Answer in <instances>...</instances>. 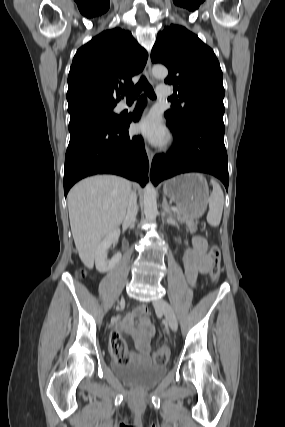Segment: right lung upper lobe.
<instances>
[{
  "label": "right lung upper lobe",
  "instance_id": "obj_1",
  "mask_svg": "<svg viewBox=\"0 0 285 427\" xmlns=\"http://www.w3.org/2000/svg\"><path fill=\"white\" fill-rule=\"evenodd\" d=\"M148 54L129 31H103L76 52L68 76V112L95 105H113L120 89L144 68ZM123 97V96H122Z\"/></svg>",
  "mask_w": 285,
  "mask_h": 427
}]
</instances>
